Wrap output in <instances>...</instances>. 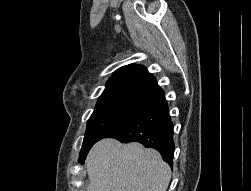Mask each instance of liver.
<instances>
[{
	"label": "liver",
	"instance_id": "obj_1",
	"mask_svg": "<svg viewBox=\"0 0 251 191\" xmlns=\"http://www.w3.org/2000/svg\"><path fill=\"white\" fill-rule=\"evenodd\" d=\"M86 165L87 191H166L171 179L160 153L138 141L101 139L91 147Z\"/></svg>",
	"mask_w": 251,
	"mask_h": 191
}]
</instances>
